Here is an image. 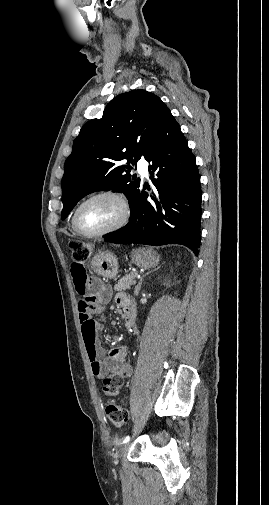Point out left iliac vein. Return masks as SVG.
<instances>
[{
    "instance_id": "1",
    "label": "left iliac vein",
    "mask_w": 269,
    "mask_h": 505,
    "mask_svg": "<svg viewBox=\"0 0 269 505\" xmlns=\"http://www.w3.org/2000/svg\"><path fill=\"white\" fill-rule=\"evenodd\" d=\"M128 448H129V443H126V444L122 445V446L118 449L117 454H116V457H117V458H121V457H123V456L127 453Z\"/></svg>"
}]
</instances>
